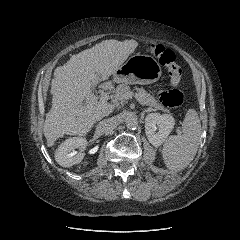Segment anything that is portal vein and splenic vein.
<instances>
[{"mask_svg": "<svg viewBox=\"0 0 240 240\" xmlns=\"http://www.w3.org/2000/svg\"><path fill=\"white\" fill-rule=\"evenodd\" d=\"M106 96L107 94H103L104 98H106ZM132 97H135L141 105H144V102L141 100L140 96L137 94L134 95L132 92H128L124 96L126 100L131 99ZM96 100H97V97L95 95H91L90 97L87 98L86 104H93ZM79 107L82 108L81 105Z\"/></svg>", "mask_w": 240, "mask_h": 240, "instance_id": "18ae733b", "label": "portal vein and splenic vein"}]
</instances>
